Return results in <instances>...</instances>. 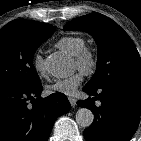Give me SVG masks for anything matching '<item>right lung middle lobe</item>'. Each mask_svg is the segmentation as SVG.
<instances>
[{
    "label": "right lung middle lobe",
    "instance_id": "dd1d6c3e",
    "mask_svg": "<svg viewBox=\"0 0 141 141\" xmlns=\"http://www.w3.org/2000/svg\"><path fill=\"white\" fill-rule=\"evenodd\" d=\"M54 32L52 25L13 20L0 30V86L29 87L40 83L33 55Z\"/></svg>",
    "mask_w": 141,
    "mask_h": 141
}]
</instances>
